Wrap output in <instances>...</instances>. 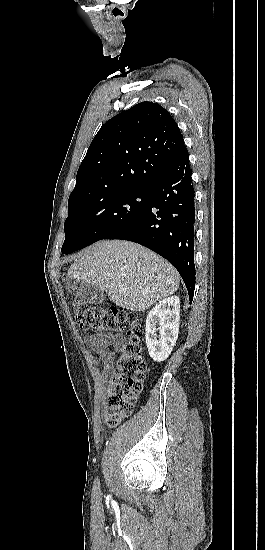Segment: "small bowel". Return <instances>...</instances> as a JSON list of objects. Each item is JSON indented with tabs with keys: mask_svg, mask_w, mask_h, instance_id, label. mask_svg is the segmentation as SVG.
<instances>
[{
	"mask_svg": "<svg viewBox=\"0 0 265 550\" xmlns=\"http://www.w3.org/2000/svg\"><path fill=\"white\" fill-rule=\"evenodd\" d=\"M85 341L88 348L96 352L102 358L104 367L108 369L114 361V351L120 349L124 344V337L97 334L86 337ZM90 359L93 361L94 357L90 356ZM96 373L98 375V372Z\"/></svg>",
	"mask_w": 265,
	"mask_h": 550,
	"instance_id": "c3829d8e",
	"label": "small bowel"
}]
</instances>
